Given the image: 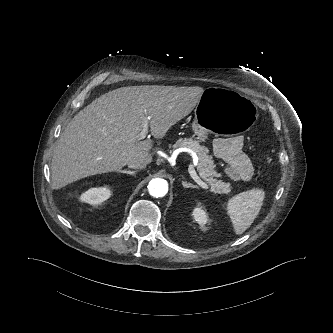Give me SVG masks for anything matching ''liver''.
Returning <instances> with one entry per match:
<instances>
[{
    "instance_id": "6515ba94",
    "label": "liver",
    "mask_w": 333,
    "mask_h": 333,
    "mask_svg": "<svg viewBox=\"0 0 333 333\" xmlns=\"http://www.w3.org/2000/svg\"><path fill=\"white\" fill-rule=\"evenodd\" d=\"M202 87L128 86L101 95L79 111L61 134L52 158V186L60 189L82 178L115 172L129 161L152 162V140L138 142L149 117L154 138L187 116Z\"/></svg>"
}]
</instances>
